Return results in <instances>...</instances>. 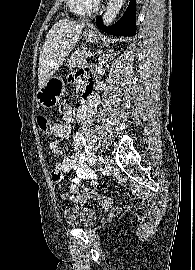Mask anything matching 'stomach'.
I'll use <instances>...</instances> for the list:
<instances>
[{
    "label": "stomach",
    "mask_w": 195,
    "mask_h": 270,
    "mask_svg": "<svg viewBox=\"0 0 195 270\" xmlns=\"http://www.w3.org/2000/svg\"><path fill=\"white\" fill-rule=\"evenodd\" d=\"M96 35L97 31L94 29H85L84 31V37L88 40L94 39ZM64 92V82L59 78L52 77L38 90L36 100L44 108H53L60 102Z\"/></svg>",
    "instance_id": "1"
}]
</instances>
